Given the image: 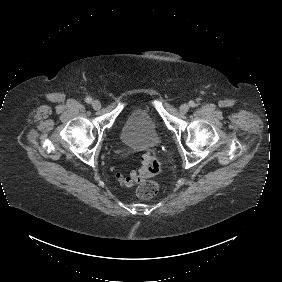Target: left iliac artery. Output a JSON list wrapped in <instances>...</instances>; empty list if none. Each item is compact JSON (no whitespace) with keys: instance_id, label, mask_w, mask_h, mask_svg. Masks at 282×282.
Returning <instances> with one entry per match:
<instances>
[{"instance_id":"44dca946","label":"left iliac artery","mask_w":282,"mask_h":282,"mask_svg":"<svg viewBox=\"0 0 282 282\" xmlns=\"http://www.w3.org/2000/svg\"><path fill=\"white\" fill-rule=\"evenodd\" d=\"M191 107H195V103L194 102H190L189 103Z\"/></svg>"}]
</instances>
